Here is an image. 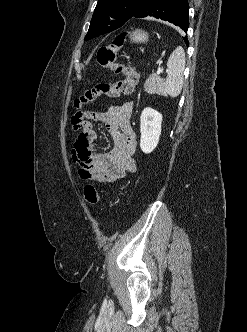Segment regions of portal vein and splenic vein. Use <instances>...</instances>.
I'll list each match as a JSON object with an SVG mask.
<instances>
[{
  "label": "portal vein and splenic vein",
  "instance_id": "obj_1",
  "mask_svg": "<svg viewBox=\"0 0 247 332\" xmlns=\"http://www.w3.org/2000/svg\"><path fill=\"white\" fill-rule=\"evenodd\" d=\"M162 72H163V70H162V69H161V70L159 69V70L157 71V74L160 75Z\"/></svg>",
  "mask_w": 247,
  "mask_h": 332
}]
</instances>
